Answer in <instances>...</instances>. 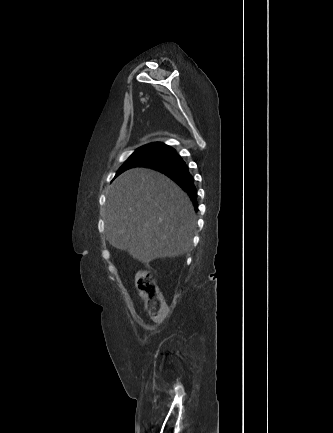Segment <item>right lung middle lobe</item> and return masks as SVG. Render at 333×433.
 I'll use <instances>...</instances> for the list:
<instances>
[{
	"instance_id": "1",
	"label": "right lung middle lobe",
	"mask_w": 333,
	"mask_h": 433,
	"mask_svg": "<svg viewBox=\"0 0 333 433\" xmlns=\"http://www.w3.org/2000/svg\"><path fill=\"white\" fill-rule=\"evenodd\" d=\"M174 149L169 146H164L162 143H151L138 148L120 167L117 171L116 176L124 172L125 170L138 167L143 164L155 161L163 156L168 155ZM115 176V177H116Z\"/></svg>"
}]
</instances>
